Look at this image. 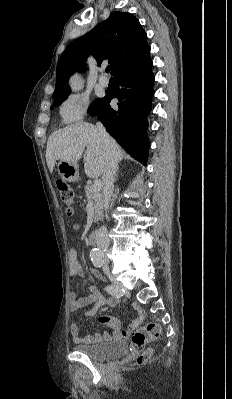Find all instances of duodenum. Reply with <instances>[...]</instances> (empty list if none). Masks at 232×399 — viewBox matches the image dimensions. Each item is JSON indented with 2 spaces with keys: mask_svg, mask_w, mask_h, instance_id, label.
Instances as JSON below:
<instances>
[{
  "mask_svg": "<svg viewBox=\"0 0 232 399\" xmlns=\"http://www.w3.org/2000/svg\"><path fill=\"white\" fill-rule=\"evenodd\" d=\"M98 238V230H92L88 235V241L90 244H95Z\"/></svg>",
  "mask_w": 232,
  "mask_h": 399,
  "instance_id": "410a0bca",
  "label": "duodenum"
}]
</instances>
